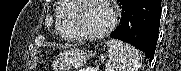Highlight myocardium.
<instances>
[{"instance_id": "1", "label": "myocardium", "mask_w": 181, "mask_h": 71, "mask_svg": "<svg viewBox=\"0 0 181 71\" xmlns=\"http://www.w3.org/2000/svg\"><path fill=\"white\" fill-rule=\"evenodd\" d=\"M65 1L71 2L74 5L73 13L71 15V20H70V25L73 29V35L76 39H79V40L101 39L107 36L108 34H110L117 25L118 15L114 6L111 4V2L107 0H98L109 11V14H110L109 24L103 30L96 33L81 32L78 28L77 22H78V16L82 9V0H65Z\"/></svg>"}]
</instances>
